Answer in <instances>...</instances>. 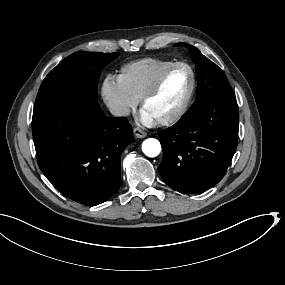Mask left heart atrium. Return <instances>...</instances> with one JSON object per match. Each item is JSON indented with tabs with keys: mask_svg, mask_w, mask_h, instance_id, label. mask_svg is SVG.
Instances as JSON below:
<instances>
[{
	"mask_svg": "<svg viewBox=\"0 0 285 285\" xmlns=\"http://www.w3.org/2000/svg\"><path fill=\"white\" fill-rule=\"evenodd\" d=\"M138 116L140 121L147 125H153L158 122V119L152 113L146 111L144 108L139 111Z\"/></svg>",
	"mask_w": 285,
	"mask_h": 285,
	"instance_id": "39dd6f15",
	"label": "left heart atrium"
}]
</instances>
